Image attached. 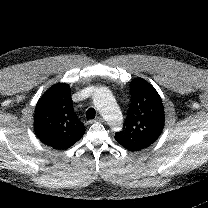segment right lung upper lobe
Wrapping results in <instances>:
<instances>
[{
  "label": "right lung upper lobe",
  "mask_w": 208,
  "mask_h": 208,
  "mask_svg": "<svg viewBox=\"0 0 208 208\" xmlns=\"http://www.w3.org/2000/svg\"><path fill=\"white\" fill-rule=\"evenodd\" d=\"M37 137L54 149H67L85 133L83 123L76 116L68 84L50 87L38 100L34 114Z\"/></svg>",
  "instance_id": "1"
}]
</instances>
